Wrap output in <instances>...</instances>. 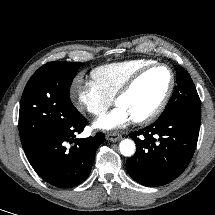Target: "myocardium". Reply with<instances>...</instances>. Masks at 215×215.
<instances>
[{"label":"myocardium","instance_id":"1","mask_svg":"<svg viewBox=\"0 0 215 215\" xmlns=\"http://www.w3.org/2000/svg\"><path fill=\"white\" fill-rule=\"evenodd\" d=\"M159 67L166 68L168 70V72L170 74L169 86H168L167 91L164 94L163 98L159 102V104L149 114H147L146 116H143L141 118L134 119V122H136L137 124L143 125V124L151 123L152 121L157 119L161 115V113L164 111V109L166 108V106L173 94V91L175 88V82H176L175 74H174V71L172 70V68L165 63L154 62V63L140 69L134 75H132L115 95L114 101H115V103H117L120 98L127 95L135 87V85L139 82V80L145 74H147L151 70H153L155 68H159Z\"/></svg>","mask_w":215,"mask_h":215}]
</instances>
